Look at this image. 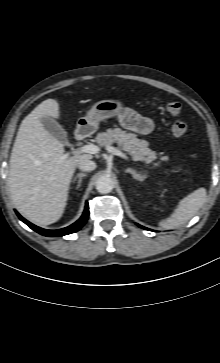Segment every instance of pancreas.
I'll return each mask as SVG.
<instances>
[{
  "label": "pancreas",
  "instance_id": "obj_1",
  "mask_svg": "<svg viewBox=\"0 0 220 363\" xmlns=\"http://www.w3.org/2000/svg\"><path fill=\"white\" fill-rule=\"evenodd\" d=\"M96 142L102 147H110L117 143L119 149L126 151L135 161H142L151 164L157 159V153L148 148L146 140L138 139L134 133H129L120 128L107 129L106 132L98 133ZM160 165V162L153 163V167Z\"/></svg>",
  "mask_w": 220,
  "mask_h": 363
}]
</instances>
